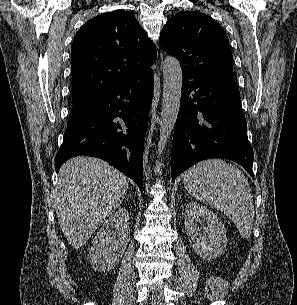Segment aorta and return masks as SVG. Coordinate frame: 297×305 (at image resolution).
I'll use <instances>...</instances> for the list:
<instances>
[{
  "label": "aorta",
  "instance_id": "aorta-1",
  "mask_svg": "<svg viewBox=\"0 0 297 305\" xmlns=\"http://www.w3.org/2000/svg\"><path fill=\"white\" fill-rule=\"evenodd\" d=\"M163 98L158 149L161 154L174 129L180 108L182 69L179 61L167 56L163 62Z\"/></svg>",
  "mask_w": 297,
  "mask_h": 305
}]
</instances>
